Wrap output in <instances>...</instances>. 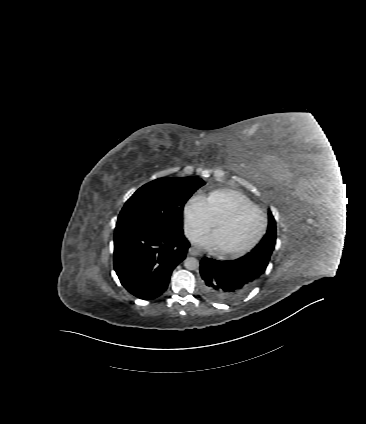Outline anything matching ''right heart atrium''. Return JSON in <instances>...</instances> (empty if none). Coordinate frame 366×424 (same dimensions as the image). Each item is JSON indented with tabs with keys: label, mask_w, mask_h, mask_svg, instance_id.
<instances>
[{
	"label": "right heart atrium",
	"mask_w": 366,
	"mask_h": 424,
	"mask_svg": "<svg viewBox=\"0 0 366 424\" xmlns=\"http://www.w3.org/2000/svg\"><path fill=\"white\" fill-rule=\"evenodd\" d=\"M183 229L190 241H195L206 235L212 223L200 196L190 197L182 207Z\"/></svg>",
	"instance_id": "d8ad5b80"
}]
</instances>
